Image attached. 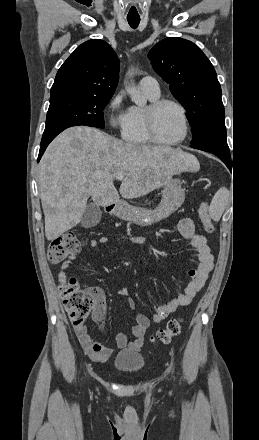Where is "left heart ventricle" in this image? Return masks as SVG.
Masks as SVG:
<instances>
[{"instance_id":"1","label":"left heart ventricle","mask_w":259,"mask_h":440,"mask_svg":"<svg viewBox=\"0 0 259 440\" xmlns=\"http://www.w3.org/2000/svg\"><path fill=\"white\" fill-rule=\"evenodd\" d=\"M156 130L158 136L164 141H175L184 132L181 113L174 105L164 106L156 118Z\"/></svg>"}]
</instances>
